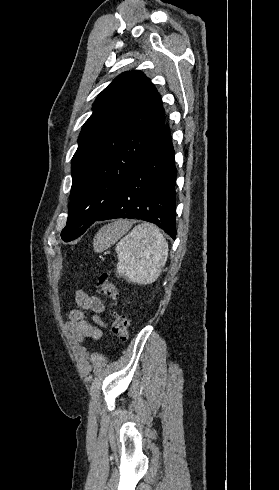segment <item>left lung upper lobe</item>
<instances>
[{"label": "left lung upper lobe", "instance_id": "left-lung-upper-lobe-1", "mask_svg": "<svg viewBox=\"0 0 279 490\" xmlns=\"http://www.w3.org/2000/svg\"><path fill=\"white\" fill-rule=\"evenodd\" d=\"M165 120L161 97L140 70L120 74L98 95L71 160L69 216L61 232L65 242L81 236L110 207Z\"/></svg>", "mask_w": 279, "mask_h": 490}]
</instances>
